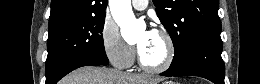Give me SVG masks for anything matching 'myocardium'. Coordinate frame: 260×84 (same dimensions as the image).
Wrapping results in <instances>:
<instances>
[{
  "label": "myocardium",
  "mask_w": 260,
  "mask_h": 84,
  "mask_svg": "<svg viewBox=\"0 0 260 84\" xmlns=\"http://www.w3.org/2000/svg\"><path fill=\"white\" fill-rule=\"evenodd\" d=\"M155 33L159 34L162 37V39L164 40L166 47H167V55H166L164 62L157 66L148 65L143 60L138 47H137V60H138L139 66L142 70L149 72V73H163V72L167 71L174 62L175 52H176L175 44H174L172 36L170 35V33L168 31H166L164 29H158L155 31Z\"/></svg>",
  "instance_id": "obj_1"
}]
</instances>
